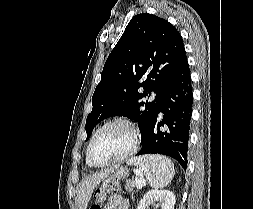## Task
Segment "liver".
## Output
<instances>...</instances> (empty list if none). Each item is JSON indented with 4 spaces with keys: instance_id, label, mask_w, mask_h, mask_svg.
<instances>
[{
    "instance_id": "1",
    "label": "liver",
    "mask_w": 253,
    "mask_h": 209,
    "mask_svg": "<svg viewBox=\"0 0 253 209\" xmlns=\"http://www.w3.org/2000/svg\"><path fill=\"white\" fill-rule=\"evenodd\" d=\"M114 172V168L101 170L89 177L84 178L80 184L77 194V205L79 209H87L94 189L108 176Z\"/></svg>"
}]
</instances>
